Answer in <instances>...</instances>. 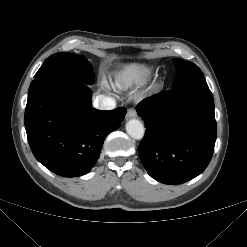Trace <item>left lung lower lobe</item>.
I'll return each instance as SVG.
<instances>
[{
	"label": "left lung lower lobe",
	"instance_id": "0a47b994",
	"mask_svg": "<svg viewBox=\"0 0 247 247\" xmlns=\"http://www.w3.org/2000/svg\"><path fill=\"white\" fill-rule=\"evenodd\" d=\"M136 109L146 126L138 153L151 177L178 185L205 170L217 134L209 87L160 92Z\"/></svg>",
	"mask_w": 247,
	"mask_h": 247
}]
</instances>
